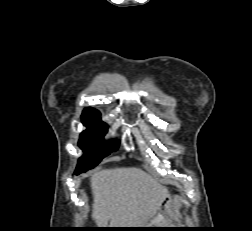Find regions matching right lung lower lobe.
Listing matches in <instances>:
<instances>
[{"label": "right lung lower lobe", "instance_id": "right-lung-lower-lobe-1", "mask_svg": "<svg viewBox=\"0 0 252 231\" xmlns=\"http://www.w3.org/2000/svg\"><path fill=\"white\" fill-rule=\"evenodd\" d=\"M75 174H79V171H75Z\"/></svg>", "mask_w": 252, "mask_h": 231}]
</instances>
